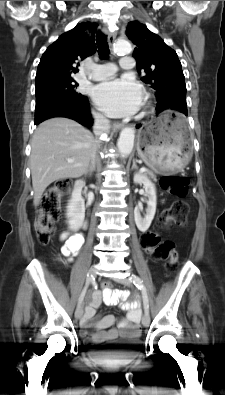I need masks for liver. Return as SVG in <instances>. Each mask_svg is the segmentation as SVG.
<instances>
[{
  "label": "liver",
  "mask_w": 225,
  "mask_h": 395,
  "mask_svg": "<svg viewBox=\"0 0 225 395\" xmlns=\"http://www.w3.org/2000/svg\"><path fill=\"white\" fill-rule=\"evenodd\" d=\"M94 146L92 133L72 119L52 118L42 122L31 141L33 204H39L43 192L54 181L85 174Z\"/></svg>",
  "instance_id": "obj_1"
}]
</instances>
